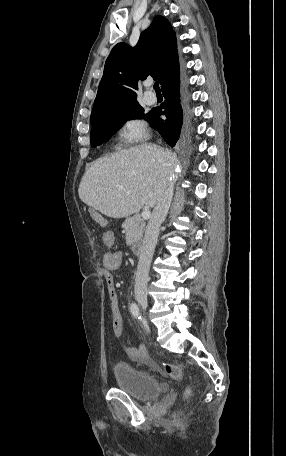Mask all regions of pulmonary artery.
Listing matches in <instances>:
<instances>
[{
  "instance_id": "e3ab8cb5",
  "label": "pulmonary artery",
  "mask_w": 286,
  "mask_h": 456,
  "mask_svg": "<svg viewBox=\"0 0 286 456\" xmlns=\"http://www.w3.org/2000/svg\"><path fill=\"white\" fill-rule=\"evenodd\" d=\"M147 86H150V84H147ZM157 98L156 95L150 91H147L145 93V101L148 104H154L156 102Z\"/></svg>"
}]
</instances>
